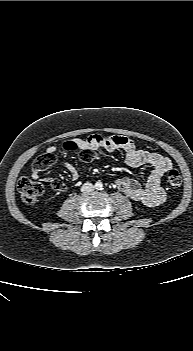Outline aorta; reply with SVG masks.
Returning a JSON list of instances; mask_svg holds the SVG:
<instances>
[{"label":"aorta","mask_w":193,"mask_h":351,"mask_svg":"<svg viewBox=\"0 0 193 351\" xmlns=\"http://www.w3.org/2000/svg\"><path fill=\"white\" fill-rule=\"evenodd\" d=\"M103 187L102 183H96L95 188L101 190Z\"/></svg>","instance_id":"aorta-1"}]
</instances>
